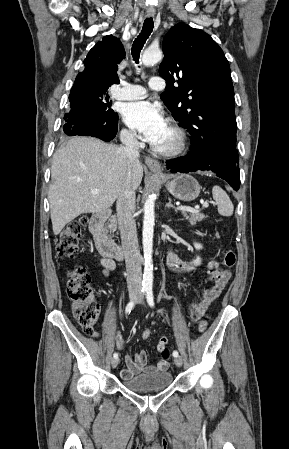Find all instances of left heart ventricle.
I'll return each instance as SVG.
<instances>
[{
  "instance_id": "left-heart-ventricle-1",
  "label": "left heart ventricle",
  "mask_w": 289,
  "mask_h": 449,
  "mask_svg": "<svg viewBox=\"0 0 289 449\" xmlns=\"http://www.w3.org/2000/svg\"><path fill=\"white\" fill-rule=\"evenodd\" d=\"M174 142V135L167 127L160 140L155 144L160 148H168Z\"/></svg>"
}]
</instances>
